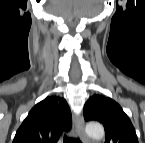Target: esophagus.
<instances>
[{
	"mask_svg": "<svg viewBox=\"0 0 145 143\" xmlns=\"http://www.w3.org/2000/svg\"><path fill=\"white\" fill-rule=\"evenodd\" d=\"M74 126L77 134L79 135L82 143H89L88 138L84 131V120L82 116L74 117Z\"/></svg>",
	"mask_w": 145,
	"mask_h": 143,
	"instance_id": "34e87169",
	"label": "esophagus"
}]
</instances>
